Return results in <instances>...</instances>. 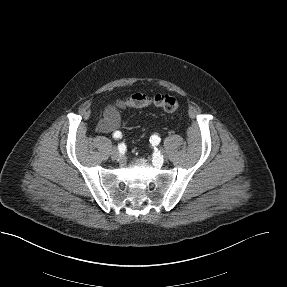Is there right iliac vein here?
<instances>
[{
	"instance_id": "63e3f726",
	"label": "right iliac vein",
	"mask_w": 287,
	"mask_h": 287,
	"mask_svg": "<svg viewBox=\"0 0 287 287\" xmlns=\"http://www.w3.org/2000/svg\"><path fill=\"white\" fill-rule=\"evenodd\" d=\"M110 154H111V158L113 160H117V159L120 158V153H119V151H118V149L116 147H113V149L111 150Z\"/></svg>"
}]
</instances>
